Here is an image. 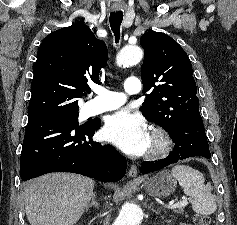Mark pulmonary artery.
<instances>
[{"label":"pulmonary artery","mask_w":237,"mask_h":225,"mask_svg":"<svg viewBox=\"0 0 237 225\" xmlns=\"http://www.w3.org/2000/svg\"><path fill=\"white\" fill-rule=\"evenodd\" d=\"M141 84L138 78L128 77L124 84L127 94H136L140 91ZM96 96L87 105L88 115H97L103 112L112 111L121 107L126 102V95L105 89H96Z\"/></svg>","instance_id":"pulmonary-artery-1"}]
</instances>
